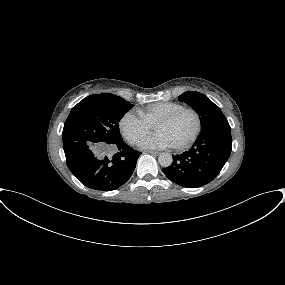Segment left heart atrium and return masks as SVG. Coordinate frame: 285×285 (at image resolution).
Instances as JSON below:
<instances>
[{
  "instance_id": "1",
  "label": "left heart atrium",
  "mask_w": 285,
  "mask_h": 285,
  "mask_svg": "<svg viewBox=\"0 0 285 285\" xmlns=\"http://www.w3.org/2000/svg\"><path fill=\"white\" fill-rule=\"evenodd\" d=\"M140 146L146 149H163L172 147L171 142L163 133H155L140 142Z\"/></svg>"
}]
</instances>
